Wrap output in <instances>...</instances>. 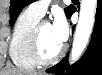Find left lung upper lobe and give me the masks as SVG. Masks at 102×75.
Returning <instances> with one entry per match:
<instances>
[{
	"label": "left lung upper lobe",
	"instance_id": "obj_1",
	"mask_svg": "<svg viewBox=\"0 0 102 75\" xmlns=\"http://www.w3.org/2000/svg\"><path fill=\"white\" fill-rule=\"evenodd\" d=\"M35 0H11V5H10V26L14 24L16 21L18 15L22 11V9L29 5L30 3L34 2ZM73 10L72 5L68 6L65 8V13L66 16L69 17Z\"/></svg>",
	"mask_w": 102,
	"mask_h": 75
}]
</instances>
